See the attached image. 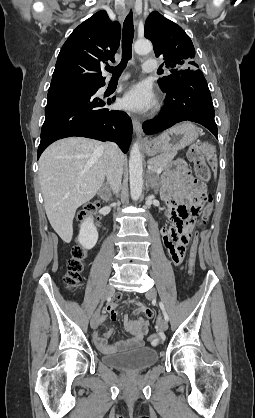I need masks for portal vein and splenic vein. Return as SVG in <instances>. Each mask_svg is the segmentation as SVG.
<instances>
[{
    "label": "portal vein and splenic vein",
    "instance_id": "1",
    "mask_svg": "<svg viewBox=\"0 0 255 418\" xmlns=\"http://www.w3.org/2000/svg\"><path fill=\"white\" fill-rule=\"evenodd\" d=\"M156 174L159 175L162 172V168H158L155 170Z\"/></svg>",
    "mask_w": 255,
    "mask_h": 418
}]
</instances>
